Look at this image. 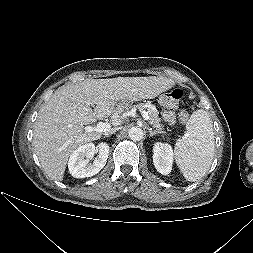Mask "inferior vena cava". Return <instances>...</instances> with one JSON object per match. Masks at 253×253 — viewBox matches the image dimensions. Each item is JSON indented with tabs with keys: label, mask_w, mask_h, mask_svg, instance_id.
<instances>
[{
	"label": "inferior vena cava",
	"mask_w": 253,
	"mask_h": 253,
	"mask_svg": "<svg viewBox=\"0 0 253 253\" xmlns=\"http://www.w3.org/2000/svg\"><path fill=\"white\" fill-rule=\"evenodd\" d=\"M117 130H119V128H116V129L110 130V131H109V132H107L105 135H106V136L111 135V134L115 133Z\"/></svg>",
	"instance_id": "1"
}]
</instances>
